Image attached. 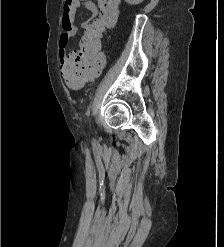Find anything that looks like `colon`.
<instances>
[{
	"instance_id": "5ec220e1",
	"label": "colon",
	"mask_w": 224,
	"mask_h": 247,
	"mask_svg": "<svg viewBox=\"0 0 224 247\" xmlns=\"http://www.w3.org/2000/svg\"><path fill=\"white\" fill-rule=\"evenodd\" d=\"M119 2L120 0H98L99 19L86 28L79 52L62 62V75L69 85L78 86L100 72L102 67V59L99 56L101 36L104 30L115 25ZM75 5V0H65L63 13L69 15Z\"/></svg>"
}]
</instances>
